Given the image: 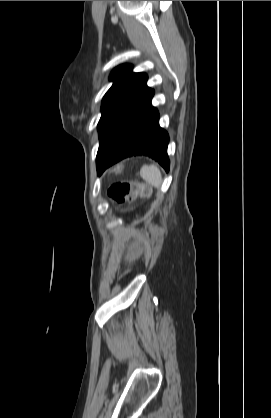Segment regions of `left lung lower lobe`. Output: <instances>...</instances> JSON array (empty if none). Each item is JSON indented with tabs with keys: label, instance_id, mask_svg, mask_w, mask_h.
<instances>
[{
	"label": "left lung lower lobe",
	"instance_id": "left-lung-lower-lobe-1",
	"mask_svg": "<svg viewBox=\"0 0 271 418\" xmlns=\"http://www.w3.org/2000/svg\"><path fill=\"white\" fill-rule=\"evenodd\" d=\"M153 95L151 90L101 144L96 158L99 175L112 164L135 155L149 156L169 171V136L159 126V114L151 105Z\"/></svg>",
	"mask_w": 271,
	"mask_h": 418
}]
</instances>
